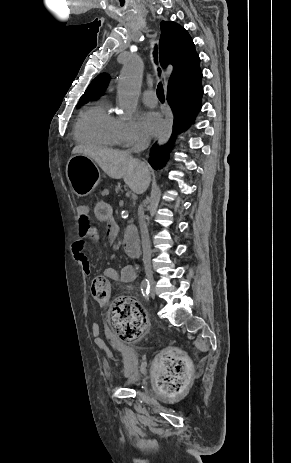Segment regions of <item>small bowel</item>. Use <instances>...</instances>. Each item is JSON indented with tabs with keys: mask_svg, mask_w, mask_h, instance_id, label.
I'll return each mask as SVG.
<instances>
[{
	"mask_svg": "<svg viewBox=\"0 0 291 463\" xmlns=\"http://www.w3.org/2000/svg\"><path fill=\"white\" fill-rule=\"evenodd\" d=\"M79 225H78V237L72 243V254L75 261L80 265L82 271L85 274L91 273V266L88 261V258L84 252L86 240L91 239L93 241H98L100 238L98 228L90 222L88 209L83 206L80 207L78 212ZM103 221L107 222V233H108V244L110 246H115L118 243L117 233L119 229L112 217H106ZM104 276L113 281H122V282H131L135 280L136 274L133 268L129 265L125 266L119 273L114 268H107L104 271ZM97 332V329H95Z\"/></svg>",
	"mask_w": 291,
	"mask_h": 463,
	"instance_id": "small-bowel-1",
	"label": "small bowel"
}]
</instances>
